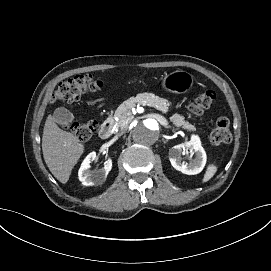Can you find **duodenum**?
<instances>
[{"mask_svg":"<svg viewBox=\"0 0 271 271\" xmlns=\"http://www.w3.org/2000/svg\"><path fill=\"white\" fill-rule=\"evenodd\" d=\"M114 122L112 117H108L101 125L99 136L101 139H108L113 133Z\"/></svg>","mask_w":271,"mask_h":271,"instance_id":"1","label":"duodenum"}]
</instances>
